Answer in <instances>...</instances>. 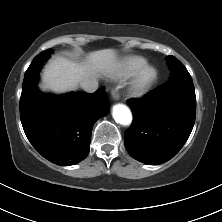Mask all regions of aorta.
<instances>
[{"instance_id":"aorta-1","label":"aorta","mask_w":222,"mask_h":222,"mask_svg":"<svg viewBox=\"0 0 222 222\" xmlns=\"http://www.w3.org/2000/svg\"><path fill=\"white\" fill-rule=\"evenodd\" d=\"M112 116L114 120L123 126H129L132 123V113L124 104H116L113 106Z\"/></svg>"}]
</instances>
